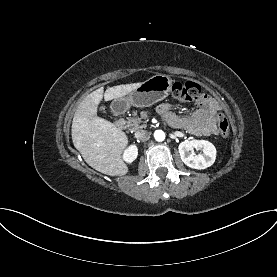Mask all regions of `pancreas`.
I'll list each match as a JSON object with an SVG mask.
<instances>
[{
    "mask_svg": "<svg viewBox=\"0 0 277 277\" xmlns=\"http://www.w3.org/2000/svg\"><path fill=\"white\" fill-rule=\"evenodd\" d=\"M133 117L128 118L127 124L130 126L133 130H138L141 128H145L146 125L142 124V118L137 115V112H133Z\"/></svg>",
    "mask_w": 277,
    "mask_h": 277,
    "instance_id": "pancreas-1",
    "label": "pancreas"
}]
</instances>
